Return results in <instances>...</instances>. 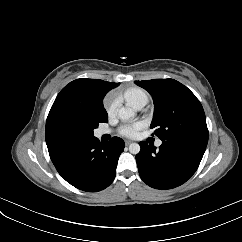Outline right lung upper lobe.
Here are the masks:
<instances>
[{"label": "right lung upper lobe", "instance_id": "1", "mask_svg": "<svg viewBox=\"0 0 242 242\" xmlns=\"http://www.w3.org/2000/svg\"><path fill=\"white\" fill-rule=\"evenodd\" d=\"M120 83L99 79H77L67 84L57 95L46 121L45 138L48 151L79 137L84 133L67 125L73 117H108L103 106L105 94Z\"/></svg>", "mask_w": 242, "mask_h": 242}]
</instances>
